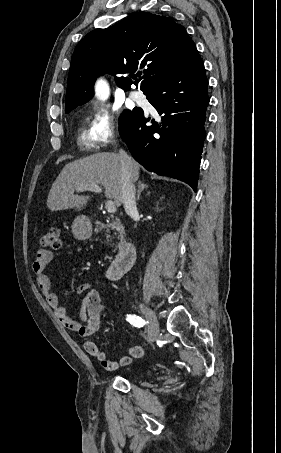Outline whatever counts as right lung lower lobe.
I'll list each match as a JSON object with an SVG mask.
<instances>
[{
  "label": "right lung lower lobe",
  "mask_w": 281,
  "mask_h": 453,
  "mask_svg": "<svg viewBox=\"0 0 281 453\" xmlns=\"http://www.w3.org/2000/svg\"><path fill=\"white\" fill-rule=\"evenodd\" d=\"M208 80L199 54L143 93L161 116L144 117L141 108L125 110L119 132L132 156L147 170L170 176L197 189L203 141ZM152 121V125H146Z\"/></svg>",
  "instance_id": "98d812e1"
}]
</instances>
